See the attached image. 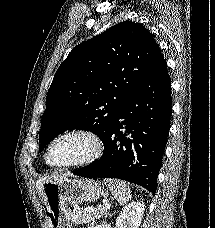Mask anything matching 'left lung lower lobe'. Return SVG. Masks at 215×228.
I'll use <instances>...</instances> for the list:
<instances>
[{
    "label": "left lung lower lobe",
    "mask_w": 215,
    "mask_h": 228,
    "mask_svg": "<svg viewBox=\"0 0 215 228\" xmlns=\"http://www.w3.org/2000/svg\"><path fill=\"white\" fill-rule=\"evenodd\" d=\"M171 113V81L160 52L145 78L118 111L103 141L102 157L73 174L122 179L155 195ZM130 133L132 139L127 137Z\"/></svg>",
    "instance_id": "0a47b994"
}]
</instances>
